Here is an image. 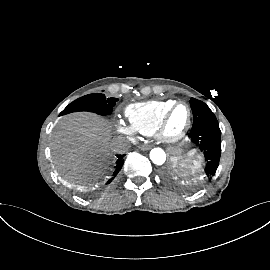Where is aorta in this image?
I'll return each mask as SVG.
<instances>
[{
    "mask_svg": "<svg viewBox=\"0 0 270 270\" xmlns=\"http://www.w3.org/2000/svg\"><path fill=\"white\" fill-rule=\"evenodd\" d=\"M150 159L156 165H162L166 161V154L161 148H154L150 151Z\"/></svg>",
    "mask_w": 270,
    "mask_h": 270,
    "instance_id": "762f6f07",
    "label": "aorta"
}]
</instances>
